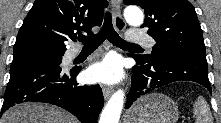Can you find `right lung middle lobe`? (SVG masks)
Wrapping results in <instances>:
<instances>
[{"mask_svg": "<svg viewBox=\"0 0 221 123\" xmlns=\"http://www.w3.org/2000/svg\"><path fill=\"white\" fill-rule=\"evenodd\" d=\"M64 53L56 52H40V53H24L14 55L10 70L20 68L27 65L52 63L60 64Z\"/></svg>", "mask_w": 221, "mask_h": 123, "instance_id": "dd1d6c3e", "label": "right lung middle lobe"}]
</instances>
